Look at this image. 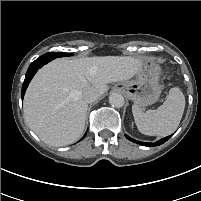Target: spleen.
I'll return each mask as SVG.
<instances>
[{"label":"spleen","mask_w":201,"mask_h":201,"mask_svg":"<svg viewBox=\"0 0 201 201\" xmlns=\"http://www.w3.org/2000/svg\"><path fill=\"white\" fill-rule=\"evenodd\" d=\"M185 108V97L178 87L169 90L163 105L157 110L143 112L135 104L132 113L138 130L150 136L164 137L172 134L178 127Z\"/></svg>","instance_id":"obj_1"}]
</instances>
